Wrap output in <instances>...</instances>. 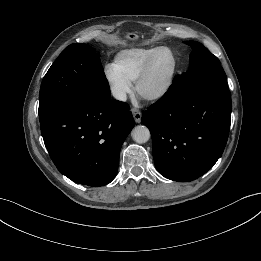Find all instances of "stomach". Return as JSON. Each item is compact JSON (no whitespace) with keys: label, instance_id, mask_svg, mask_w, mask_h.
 I'll use <instances>...</instances> for the list:
<instances>
[{"label":"stomach","instance_id":"obj_1","mask_svg":"<svg viewBox=\"0 0 261 261\" xmlns=\"http://www.w3.org/2000/svg\"><path fill=\"white\" fill-rule=\"evenodd\" d=\"M126 38H128L129 40H135V39H136V35L133 34V33H128V34L126 35Z\"/></svg>","mask_w":261,"mask_h":261}]
</instances>
